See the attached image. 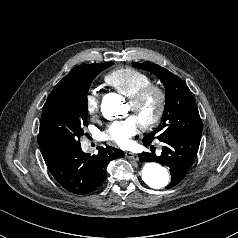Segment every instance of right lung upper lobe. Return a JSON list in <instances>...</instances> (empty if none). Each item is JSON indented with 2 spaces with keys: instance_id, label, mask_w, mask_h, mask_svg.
Wrapping results in <instances>:
<instances>
[{
  "instance_id": "1",
  "label": "right lung upper lobe",
  "mask_w": 238,
  "mask_h": 238,
  "mask_svg": "<svg viewBox=\"0 0 238 238\" xmlns=\"http://www.w3.org/2000/svg\"><path fill=\"white\" fill-rule=\"evenodd\" d=\"M86 65H81V66H77L74 69H72L56 86L59 87L61 85H63L64 83H66L67 81H69L70 79H72L74 76H76L79 72H81ZM40 146V150L42 152V156L44 158L45 161L59 155L61 152L53 150L49 147H46L44 145H39Z\"/></svg>"
}]
</instances>
